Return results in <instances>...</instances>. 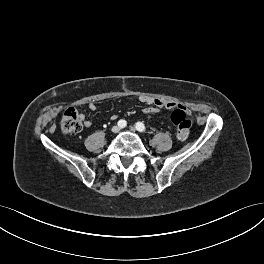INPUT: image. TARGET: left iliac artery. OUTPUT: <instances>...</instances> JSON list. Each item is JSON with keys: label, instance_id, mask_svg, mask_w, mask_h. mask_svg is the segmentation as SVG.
<instances>
[{"label": "left iliac artery", "instance_id": "obj_1", "mask_svg": "<svg viewBox=\"0 0 264 264\" xmlns=\"http://www.w3.org/2000/svg\"><path fill=\"white\" fill-rule=\"evenodd\" d=\"M135 127L140 132H145L146 131V127H145V125L142 122H137L135 124Z\"/></svg>", "mask_w": 264, "mask_h": 264}]
</instances>
